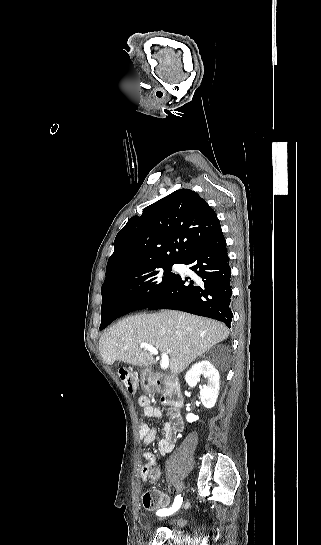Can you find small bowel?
<instances>
[{
	"label": "small bowel",
	"mask_w": 321,
	"mask_h": 545,
	"mask_svg": "<svg viewBox=\"0 0 321 545\" xmlns=\"http://www.w3.org/2000/svg\"><path fill=\"white\" fill-rule=\"evenodd\" d=\"M138 404L142 408L143 414L149 418H159L162 412L159 408L151 405L149 398L146 395H141L138 398ZM179 433V427L172 424H165L163 427V437L158 442L159 453L164 456L175 447L176 437ZM156 430L148 424L142 423L139 427V437L145 445L154 442L156 438ZM145 459V465L141 469V479L143 483L150 481L155 483L160 478V470L155 467L156 457L149 451H144L142 454ZM162 511V510H159Z\"/></svg>",
	"instance_id": "1"
}]
</instances>
